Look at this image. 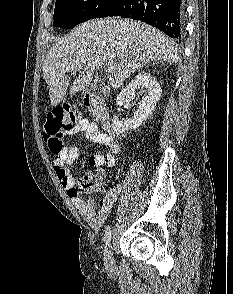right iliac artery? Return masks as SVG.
<instances>
[{"label": "right iliac artery", "instance_id": "1", "mask_svg": "<svg viewBox=\"0 0 233 294\" xmlns=\"http://www.w3.org/2000/svg\"><path fill=\"white\" fill-rule=\"evenodd\" d=\"M104 238H105V243H106V246H107L109 244L110 240H111V228H110V226L106 227Z\"/></svg>", "mask_w": 233, "mask_h": 294}]
</instances>
